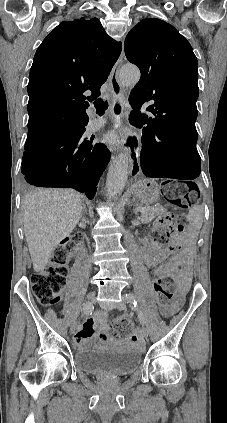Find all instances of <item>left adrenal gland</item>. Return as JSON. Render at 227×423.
<instances>
[{
	"label": "left adrenal gland",
	"mask_w": 227,
	"mask_h": 423,
	"mask_svg": "<svg viewBox=\"0 0 227 423\" xmlns=\"http://www.w3.org/2000/svg\"><path fill=\"white\" fill-rule=\"evenodd\" d=\"M133 206H134V213H135V215H137V213H138V208H139V206H138V204H133Z\"/></svg>",
	"instance_id": "left-adrenal-gland-1"
}]
</instances>
